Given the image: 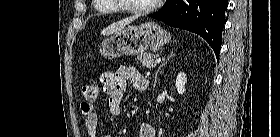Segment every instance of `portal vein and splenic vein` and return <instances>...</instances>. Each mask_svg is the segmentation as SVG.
I'll return each mask as SVG.
<instances>
[{"mask_svg": "<svg viewBox=\"0 0 280 137\" xmlns=\"http://www.w3.org/2000/svg\"><path fill=\"white\" fill-rule=\"evenodd\" d=\"M161 62V59H157L156 61H155V63H160Z\"/></svg>", "mask_w": 280, "mask_h": 137, "instance_id": "portal-vein-and-splenic-vein-1", "label": "portal vein and splenic vein"}]
</instances>
